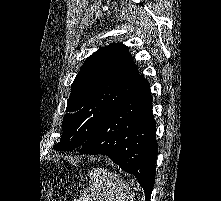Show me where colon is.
Instances as JSON below:
<instances>
[{"label": "colon", "instance_id": "1", "mask_svg": "<svg viewBox=\"0 0 221 201\" xmlns=\"http://www.w3.org/2000/svg\"><path fill=\"white\" fill-rule=\"evenodd\" d=\"M47 200L48 201H58L55 197L51 196V195H48L47 196Z\"/></svg>", "mask_w": 221, "mask_h": 201}]
</instances>
